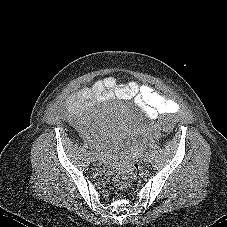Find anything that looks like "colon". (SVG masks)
Wrapping results in <instances>:
<instances>
[{
  "label": "colon",
  "instance_id": "obj_1",
  "mask_svg": "<svg viewBox=\"0 0 227 227\" xmlns=\"http://www.w3.org/2000/svg\"><path fill=\"white\" fill-rule=\"evenodd\" d=\"M175 117L171 114L163 116L158 121V129L160 131H169L173 128ZM138 173V164L134 160L125 162L119 169H116L111 174V181L113 186L120 190H127L132 182L135 180Z\"/></svg>",
  "mask_w": 227,
  "mask_h": 227
}]
</instances>
